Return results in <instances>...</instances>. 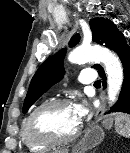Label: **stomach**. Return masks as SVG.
<instances>
[{
  "label": "stomach",
  "instance_id": "0dacf381",
  "mask_svg": "<svg viewBox=\"0 0 130 153\" xmlns=\"http://www.w3.org/2000/svg\"><path fill=\"white\" fill-rule=\"evenodd\" d=\"M112 119L106 118L103 121V126L105 128H110L112 126ZM104 138V131L101 126L99 125H93L90 127V129L87 130L84 138H83V149L87 150L90 148H93L97 146Z\"/></svg>",
  "mask_w": 130,
  "mask_h": 153
}]
</instances>
